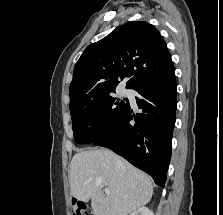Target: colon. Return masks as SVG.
I'll use <instances>...</instances> for the list:
<instances>
[{
	"instance_id": "1",
	"label": "colon",
	"mask_w": 223,
	"mask_h": 215,
	"mask_svg": "<svg viewBox=\"0 0 223 215\" xmlns=\"http://www.w3.org/2000/svg\"><path fill=\"white\" fill-rule=\"evenodd\" d=\"M72 215H92V213L85 204L74 201L72 203Z\"/></svg>"
}]
</instances>
